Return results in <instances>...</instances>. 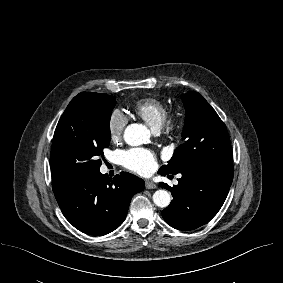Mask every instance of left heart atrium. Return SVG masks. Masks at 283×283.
Segmentation results:
<instances>
[{"label":"left heart atrium","mask_w":283,"mask_h":283,"mask_svg":"<svg viewBox=\"0 0 283 283\" xmlns=\"http://www.w3.org/2000/svg\"><path fill=\"white\" fill-rule=\"evenodd\" d=\"M121 159L124 167L141 175H148L157 166L154 152L145 148H131L124 151Z\"/></svg>","instance_id":"39dd6f15"}]
</instances>
